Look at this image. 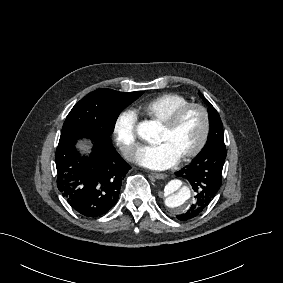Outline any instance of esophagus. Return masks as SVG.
Instances as JSON below:
<instances>
[{"label": "esophagus", "instance_id": "esophagus-1", "mask_svg": "<svg viewBox=\"0 0 283 283\" xmlns=\"http://www.w3.org/2000/svg\"><path fill=\"white\" fill-rule=\"evenodd\" d=\"M152 176L156 179L161 180V179H165L167 177V174L153 172Z\"/></svg>", "mask_w": 283, "mask_h": 283}]
</instances>
